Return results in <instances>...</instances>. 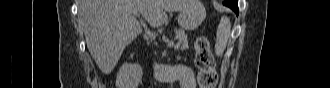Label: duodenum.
<instances>
[{
	"instance_id": "obj_1",
	"label": "duodenum",
	"mask_w": 330,
	"mask_h": 88,
	"mask_svg": "<svg viewBox=\"0 0 330 88\" xmlns=\"http://www.w3.org/2000/svg\"><path fill=\"white\" fill-rule=\"evenodd\" d=\"M170 69V66L165 65H154L152 66V72L154 73V76L163 81H172L168 70Z\"/></svg>"
}]
</instances>
